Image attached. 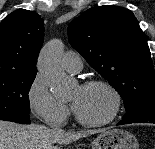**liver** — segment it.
Masks as SVG:
<instances>
[{
  "mask_svg": "<svg viewBox=\"0 0 155 149\" xmlns=\"http://www.w3.org/2000/svg\"><path fill=\"white\" fill-rule=\"evenodd\" d=\"M104 131L106 129L65 132L59 129H49L43 125H18L13 122L0 121V149H60L55 144H69Z\"/></svg>",
  "mask_w": 155,
  "mask_h": 149,
  "instance_id": "1",
  "label": "liver"
}]
</instances>
